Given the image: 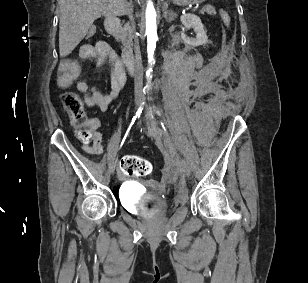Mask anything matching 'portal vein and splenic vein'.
I'll list each match as a JSON object with an SVG mask.
<instances>
[{"instance_id":"portal-vein-and-splenic-vein-1","label":"portal vein and splenic vein","mask_w":308,"mask_h":283,"mask_svg":"<svg viewBox=\"0 0 308 283\" xmlns=\"http://www.w3.org/2000/svg\"><path fill=\"white\" fill-rule=\"evenodd\" d=\"M198 8H199L198 6H195V7L193 8V10H198Z\"/></svg>"}]
</instances>
